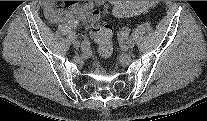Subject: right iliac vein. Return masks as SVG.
I'll use <instances>...</instances> for the list:
<instances>
[{
    "label": "right iliac vein",
    "mask_w": 207,
    "mask_h": 121,
    "mask_svg": "<svg viewBox=\"0 0 207 121\" xmlns=\"http://www.w3.org/2000/svg\"><path fill=\"white\" fill-rule=\"evenodd\" d=\"M73 46H74V48L79 49V48H80V43H79V41H74V42H73Z\"/></svg>",
    "instance_id": "63e3f726"
}]
</instances>
